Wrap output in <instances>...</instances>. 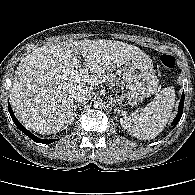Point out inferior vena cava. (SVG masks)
Returning <instances> with one entry per match:
<instances>
[{
    "label": "inferior vena cava",
    "instance_id": "obj_1",
    "mask_svg": "<svg viewBox=\"0 0 195 195\" xmlns=\"http://www.w3.org/2000/svg\"><path fill=\"white\" fill-rule=\"evenodd\" d=\"M90 96V91L86 86H78L72 92V97L76 102H83Z\"/></svg>",
    "mask_w": 195,
    "mask_h": 195
}]
</instances>
